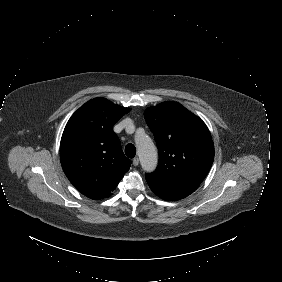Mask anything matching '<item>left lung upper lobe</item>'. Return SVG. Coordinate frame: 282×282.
<instances>
[{
	"label": "left lung upper lobe",
	"mask_w": 282,
	"mask_h": 282,
	"mask_svg": "<svg viewBox=\"0 0 282 282\" xmlns=\"http://www.w3.org/2000/svg\"><path fill=\"white\" fill-rule=\"evenodd\" d=\"M144 117L159 152V164L152 174L200 184L214 160V144L205 123L172 101L147 108Z\"/></svg>",
	"instance_id": "left-lung-upper-lobe-1"
}]
</instances>
